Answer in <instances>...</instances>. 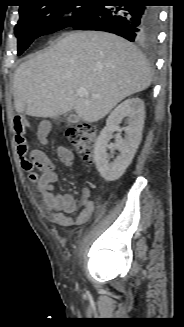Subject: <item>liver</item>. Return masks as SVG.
<instances>
[{"instance_id":"obj_1","label":"liver","mask_w":184,"mask_h":327,"mask_svg":"<svg viewBox=\"0 0 184 327\" xmlns=\"http://www.w3.org/2000/svg\"><path fill=\"white\" fill-rule=\"evenodd\" d=\"M151 82L152 69L132 43L105 32H75L17 68L15 109L42 118L74 110L92 123ZM79 88H85L88 95L79 97Z\"/></svg>"}]
</instances>
